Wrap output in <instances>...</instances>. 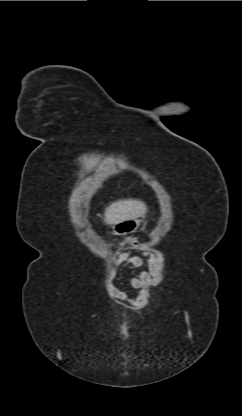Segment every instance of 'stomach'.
<instances>
[{"mask_svg":"<svg viewBox=\"0 0 242 416\" xmlns=\"http://www.w3.org/2000/svg\"><path fill=\"white\" fill-rule=\"evenodd\" d=\"M140 225L137 219H129L112 226L114 235L124 236L135 232Z\"/></svg>","mask_w":242,"mask_h":416,"instance_id":"0dacf381","label":"stomach"}]
</instances>
